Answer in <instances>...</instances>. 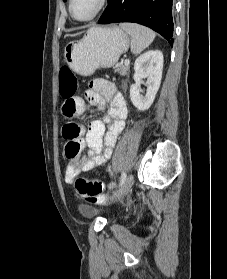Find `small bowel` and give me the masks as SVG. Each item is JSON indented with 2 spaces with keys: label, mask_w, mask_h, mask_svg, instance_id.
Masks as SVG:
<instances>
[{
  "label": "small bowel",
  "mask_w": 227,
  "mask_h": 279,
  "mask_svg": "<svg viewBox=\"0 0 227 279\" xmlns=\"http://www.w3.org/2000/svg\"><path fill=\"white\" fill-rule=\"evenodd\" d=\"M76 116L84 114L90 107L99 110L108 105V112L102 119L92 120L87 129L79 123H69L79 128L75 141L80 151L87 147L88 157L78 155L70 159L65 170V182L74 183L80 171L88 172L106 163L112 153L117 137L124 128L128 107L114 83L107 80H94L86 91L85 100L77 98Z\"/></svg>",
  "instance_id": "small-bowel-1"
}]
</instances>
